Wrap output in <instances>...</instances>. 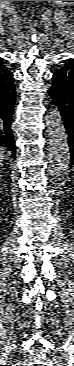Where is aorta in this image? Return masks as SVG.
Masks as SVG:
<instances>
[{"label": "aorta", "instance_id": "aorta-1", "mask_svg": "<svg viewBox=\"0 0 74 366\" xmlns=\"http://www.w3.org/2000/svg\"><path fill=\"white\" fill-rule=\"evenodd\" d=\"M47 122L49 134L48 174L50 178H57L67 169L70 162L68 135L60 111L55 106L49 111Z\"/></svg>", "mask_w": 74, "mask_h": 366}]
</instances>
